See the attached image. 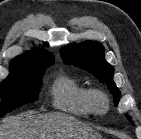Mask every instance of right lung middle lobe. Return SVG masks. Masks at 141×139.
<instances>
[{"instance_id":"1","label":"right lung middle lobe","mask_w":141,"mask_h":139,"mask_svg":"<svg viewBox=\"0 0 141 139\" xmlns=\"http://www.w3.org/2000/svg\"><path fill=\"white\" fill-rule=\"evenodd\" d=\"M48 66L25 67L10 70L0 86V117L26 103L38 100L45 68Z\"/></svg>"}]
</instances>
